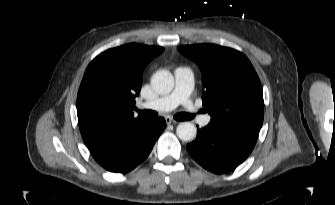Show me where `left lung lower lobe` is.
<instances>
[{
	"mask_svg": "<svg viewBox=\"0 0 335 205\" xmlns=\"http://www.w3.org/2000/svg\"><path fill=\"white\" fill-rule=\"evenodd\" d=\"M256 141L257 138L209 123L198 129L197 138L187 149L205 169L222 174L240 165L250 155Z\"/></svg>",
	"mask_w": 335,
	"mask_h": 205,
	"instance_id": "0a47b994",
	"label": "left lung lower lobe"
}]
</instances>
